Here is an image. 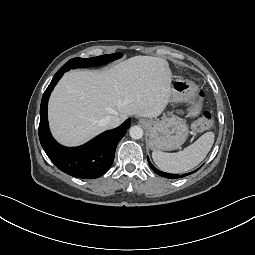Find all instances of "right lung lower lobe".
I'll return each mask as SVG.
<instances>
[{
	"label": "right lung lower lobe",
	"instance_id": "1",
	"mask_svg": "<svg viewBox=\"0 0 255 255\" xmlns=\"http://www.w3.org/2000/svg\"><path fill=\"white\" fill-rule=\"evenodd\" d=\"M66 71H68L66 68L59 69L43 94L40 107V143L50 160L61 171L77 178H98L110 169L116 146L130 127L131 119L82 146L69 148L58 144L49 130L47 104L53 88Z\"/></svg>",
	"mask_w": 255,
	"mask_h": 255
}]
</instances>
